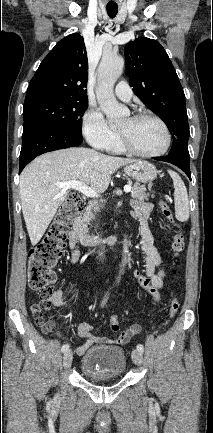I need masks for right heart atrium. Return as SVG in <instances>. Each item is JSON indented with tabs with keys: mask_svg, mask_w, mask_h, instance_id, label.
<instances>
[{
	"mask_svg": "<svg viewBox=\"0 0 213 433\" xmlns=\"http://www.w3.org/2000/svg\"><path fill=\"white\" fill-rule=\"evenodd\" d=\"M82 133L89 144L99 150H108L117 137L102 114L94 108L87 109L83 115Z\"/></svg>",
	"mask_w": 213,
	"mask_h": 433,
	"instance_id": "d8ad5b80",
	"label": "right heart atrium"
}]
</instances>
